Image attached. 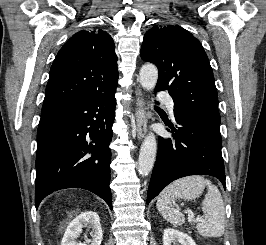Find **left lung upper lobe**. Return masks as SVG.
<instances>
[{"instance_id": "1", "label": "left lung upper lobe", "mask_w": 266, "mask_h": 245, "mask_svg": "<svg viewBox=\"0 0 266 245\" xmlns=\"http://www.w3.org/2000/svg\"><path fill=\"white\" fill-rule=\"evenodd\" d=\"M141 58L159 69L155 89L168 90L175 108L220 123L213 71L201 43L178 25L156 26L146 32Z\"/></svg>"}]
</instances>
